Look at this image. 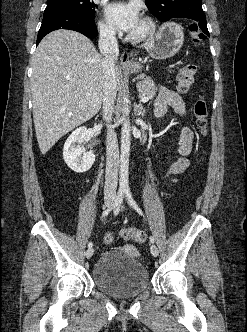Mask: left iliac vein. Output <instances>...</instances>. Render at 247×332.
Segmentation results:
<instances>
[{
	"label": "left iliac vein",
	"mask_w": 247,
	"mask_h": 332,
	"mask_svg": "<svg viewBox=\"0 0 247 332\" xmlns=\"http://www.w3.org/2000/svg\"><path fill=\"white\" fill-rule=\"evenodd\" d=\"M150 252L154 257H157L159 254L158 248L156 247V245L151 244L150 246Z\"/></svg>",
	"instance_id": "obj_1"
}]
</instances>
